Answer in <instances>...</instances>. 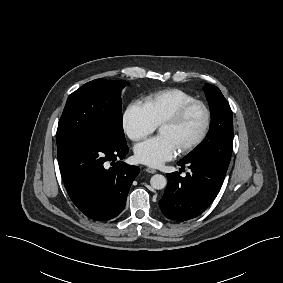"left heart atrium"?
Listing matches in <instances>:
<instances>
[{"mask_svg":"<svg viewBox=\"0 0 283 283\" xmlns=\"http://www.w3.org/2000/svg\"><path fill=\"white\" fill-rule=\"evenodd\" d=\"M177 152L174 143L160 135L151 137L137 144L134 148L136 159L150 167H159L163 163L172 160Z\"/></svg>","mask_w":283,"mask_h":283,"instance_id":"39dd6f15","label":"left heart atrium"}]
</instances>
